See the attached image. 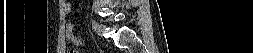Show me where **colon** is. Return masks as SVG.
Here are the masks:
<instances>
[{"mask_svg":"<svg viewBox=\"0 0 253 53\" xmlns=\"http://www.w3.org/2000/svg\"><path fill=\"white\" fill-rule=\"evenodd\" d=\"M77 51L76 50H74V49H70L69 50V53H76Z\"/></svg>","mask_w":253,"mask_h":53,"instance_id":"colon-1","label":"colon"}]
</instances>
